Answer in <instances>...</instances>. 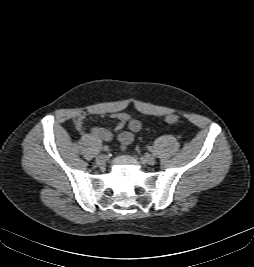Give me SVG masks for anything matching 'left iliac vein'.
<instances>
[{"label": "left iliac vein", "mask_w": 254, "mask_h": 267, "mask_svg": "<svg viewBox=\"0 0 254 267\" xmlns=\"http://www.w3.org/2000/svg\"><path fill=\"white\" fill-rule=\"evenodd\" d=\"M141 159L144 163L149 164V165H153L156 162L155 157L153 155H149V154L142 156Z\"/></svg>", "instance_id": "obj_1"}]
</instances>
